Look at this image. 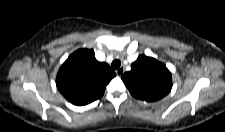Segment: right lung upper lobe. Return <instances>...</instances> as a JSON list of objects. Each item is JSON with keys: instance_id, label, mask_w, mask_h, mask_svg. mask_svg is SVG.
Segmentation results:
<instances>
[{"instance_id": "right-lung-upper-lobe-1", "label": "right lung upper lobe", "mask_w": 225, "mask_h": 132, "mask_svg": "<svg viewBox=\"0 0 225 132\" xmlns=\"http://www.w3.org/2000/svg\"><path fill=\"white\" fill-rule=\"evenodd\" d=\"M115 76L108 64L95 59L92 49H80L60 67L56 85L69 102L86 105L101 98L106 85Z\"/></svg>"}]
</instances>
